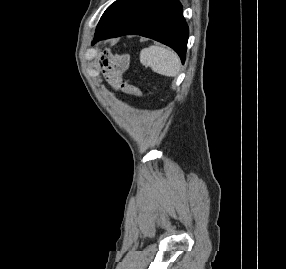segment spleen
<instances>
[{
    "label": "spleen",
    "mask_w": 286,
    "mask_h": 269,
    "mask_svg": "<svg viewBox=\"0 0 286 269\" xmlns=\"http://www.w3.org/2000/svg\"><path fill=\"white\" fill-rule=\"evenodd\" d=\"M140 62L151 67L154 72L165 76L175 77L180 69V59L177 54L161 46L143 49L140 53Z\"/></svg>",
    "instance_id": "1"
}]
</instances>
